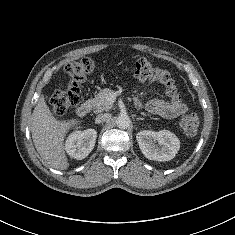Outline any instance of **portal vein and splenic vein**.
Here are the masks:
<instances>
[{
	"instance_id": "1",
	"label": "portal vein and splenic vein",
	"mask_w": 235,
	"mask_h": 235,
	"mask_svg": "<svg viewBox=\"0 0 235 235\" xmlns=\"http://www.w3.org/2000/svg\"><path fill=\"white\" fill-rule=\"evenodd\" d=\"M116 99V94L115 93H111L109 95L108 101H110L111 103H113Z\"/></svg>"
}]
</instances>
